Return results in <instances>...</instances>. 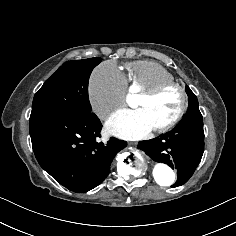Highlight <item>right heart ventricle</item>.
<instances>
[{"label":"right heart ventricle","mask_w":236,"mask_h":236,"mask_svg":"<svg viewBox=\"0 0 236 236\" xmlns=\"http://www.w3.org/2000/svg\"><path fill=\"white\" fill-rule=\"evenodd\" d=\"M125 83L142 93L163 82L174 81L173 74L162 64L152 61H134L125 64Z\"/></svg>","instance_id":"right-heart-ventricle-1"}]
</instances>
